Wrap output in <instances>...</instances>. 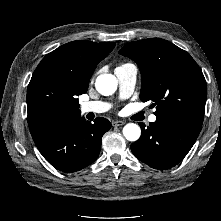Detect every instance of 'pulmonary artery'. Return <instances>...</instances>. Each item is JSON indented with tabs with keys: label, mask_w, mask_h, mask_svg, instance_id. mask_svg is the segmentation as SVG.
Wrapping results in <instances>:
<instances>
[{
	"label": "pulmonary artery",
	"mask_w": 221,
	"mask_h": 221,
	"mask_svg": "<svg viewBox=\"0 0 221 221\" xmlns=\"http://www.w3.org/2000/svg\"><path fill=\"white\" fill-rule=\"evenodd\" d=\"M115 75L118 79L119 92L121 98H128L134 91L137 68L133 64H124L115 69ZM110 109V104L103 101H89L81 105V111L87 113H104ZM157 119L156 115H151L148 119L153 123Z\"/></svg>",
	"instance_id": "1"
}]
</instances>
